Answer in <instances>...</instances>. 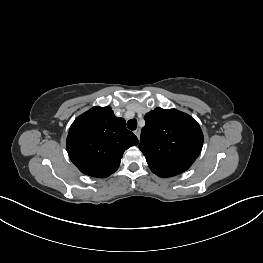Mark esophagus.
Listing matches in <instances>:
<instances>
[{"label": "esophagus", "mask_w": 263, "mask_h": 263, "mask_svg": "<svg viewBox=\"0 0 263 263\" xmlns=\"http://www.w3.org/2000/svg\"><path fill=\"white\" fill-rule=\"evenodd\" d=\"M140 133H141V130H140L139 128H137V129L134 131V134L137 136L138 139L140 138Z\"/></svg>", "instance_id": "esophagus-1"}]
</instances>
